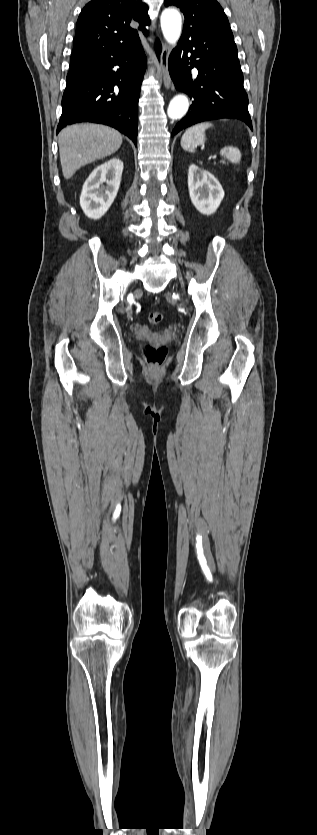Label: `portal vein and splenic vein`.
<instances>
[{"instance_id": "18ae733b", "label": "portal vein and splenic vein", "mask_w": 317, "mask_h": 835, "mask_svg": "<svg viewBox=\"0 0 317 835\" xmlns=\"http://www.w3.org/2000/svg\"><path fill=\"white\" fill-rule=\"evenodd\" d=\"M209 159H212L214 162H216L217 156H211Z\"/></svg>"}]
</instances>
